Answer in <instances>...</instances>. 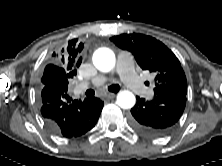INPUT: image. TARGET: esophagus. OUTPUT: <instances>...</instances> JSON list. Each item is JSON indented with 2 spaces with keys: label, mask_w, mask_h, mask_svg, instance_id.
Masks as SVG:
<instances>
[{
  "label": "esophagus",
  "mask_w": 222,
  "mask_h": 166,
  "mask_svg": "<svg viewBox=\"0 0 222 166\" xmlns=\"http://www.w3.org/2000/svg\"><path fill=\"white\" fill-rule=\"evenodd\" d=\"M115 96H116V93H108V94H106V98H108V99H112Z\"/></svg>",
  "instance_id": "1"
}]
</instances>
